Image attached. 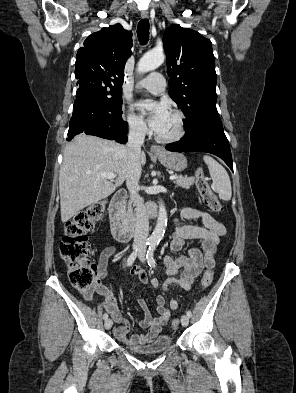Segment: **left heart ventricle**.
<instances>
[{"label":"left heart ventricle","instance_id":"obj_1","mask_svg":"<svg viewBox=\"0 0 296 393\" xmlns=\"http://www.w3.org/2000/svg\"><path fill=\"white\" fill-rule=\"evenodd\" d=\"M177 118L169 113L166 121L162 125V127L156 133L162 137H168L173 135L177 130Z\"/></svg>","mask_w":296,"mask_h":393}]
</instances>
